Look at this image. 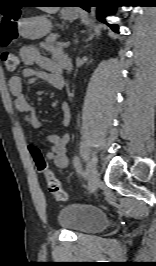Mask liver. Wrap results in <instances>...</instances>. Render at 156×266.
I'll use <instances>...</instances> for the list:
<instances>
[{"label": "liver", "instance_id": "obj_1", "mask_svg": "<svg viewBox=\"0 0 156 266\" xmlns=\"http://www.w3.org/2000/svg\"><path fill=\"white\" fill-rule=\"evenodd\" d=\"M40 9L48 14H54L59 10V7H41Z\"/></svg>", "mask_w": 156, "mask_h": 266}]
</instances>
